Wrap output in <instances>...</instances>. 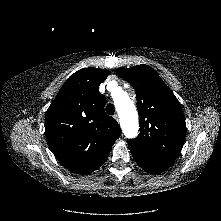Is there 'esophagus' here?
<instances>
[{
    "label": "esophagus",
    "mask_w": 221,
    "mask_h": 221,
    "mask_svg": "<svg viewBox=\"0 0 221 221\" xmlns=\"http://www.w3.org/2000/svg\"><path fill=\"white\" fill-rule=\"evenodd\" d=\"M114 119H115L116 121H118V120H119V117H118V115H117V114H115V115H114Z\"/></svg>",
    "instance_id": "obj_1"
}]
</instances>
